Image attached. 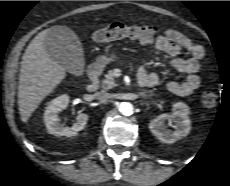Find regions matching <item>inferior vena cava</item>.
<instances>
[{"label": "inferior vena cava", "instance_id": "1", "mask_svg": "<svg viewBox=\"0 0 230 186\" xmlns=\"http://www.w3.org/2000/svg\"><path fill=\"white\" fill-rule=\"evenodd\" d=\"M95 97L99 100H106L110 98V94L106 92H97L95 93Z\"/></svg>", "mask_w": 230, "mask_h": 186}]
</instances>
